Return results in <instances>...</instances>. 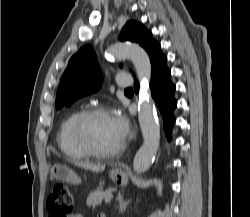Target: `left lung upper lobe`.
Masks as SVG:
<instances>
[{"instance_id": "5c2ea615", "label": "left lung upper lobe", "mask_w": 250, "mask_h": 217, "mask_svg": "<svg viewBox=\"0 0 250 217\" xmlns=\"http://www.w3.org/2000/svg\"><path fill=\"white\" fill-rule=\"evenodd\" d=\"M120 40L136 42L151 56L158 42L140 23L129 21L123 27ZM122 67V65H121ZM101 85V72L90 45L82 47L69 61L56 94V109L70 106L78 98L96 92Z\"/></svg>"}]
</instances>
